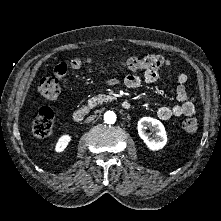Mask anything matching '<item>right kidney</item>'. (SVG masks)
Here are the masks:
<instances>
[{
    "mask_svg": "<svg viewBox=\"0 0 221 221\" xmlns=\"http://www.w3.org/2000/svg\"><path fill=\"white\" fill-rule=\"evenodd\" d=\"M70 141H71V137L69 135H67V134L62 135L56 143L55 151L59 152V153L63 152L66 149V147L68 146Z\"/></svg>",
    "mask_w": 221,
    "mask_h": 221,
    "instance_id": "1",
    "label": "right kidney"
}]
</instances>
